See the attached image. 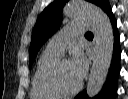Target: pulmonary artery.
Wrapping results in <instances>:
<instances>
[{"label":"pulmonary artery","instance_id":"obj_1","mask_svg":"<svg viewBox=\"0 0 128 99\" xmlns=\"http://www.w3.org/2000/svg\"><path fill=\"white\" fill-rule=\"evenodd\" d=\"M90 28L86 21L67 24L61 31L55 34L47 43V49L63 54L65 46L78 34Z\"/></svg>","mask_w":128,"mask_h":99}]
</instances>
